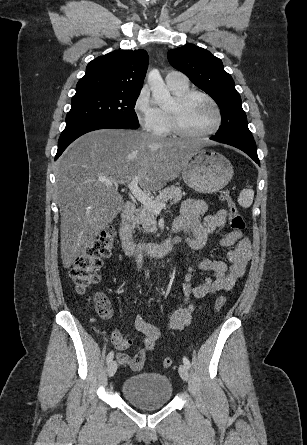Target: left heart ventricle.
I'll return each instance as SVG.
<instances>
[{"label": "left heart ventricle", "mask_w": 307, "mask_h": 445, "mask_svg": "<svg viewBox=\"0 0 307 445\" xmlns=\"http://www.w3.org/2000/svg\"><path fill=\"white\" fill-rule=\"evenodd\" d=\"M171 101L167 107H170ZM181 119L186 128L193 132H205L217 123V112L213 105L201 98H193L181 111Z\"/></svg>", "instance_id": "obj_1"}]
</instances>
